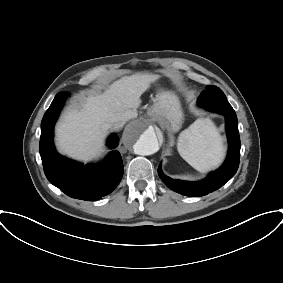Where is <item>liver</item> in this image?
Here are the masks:
<instances>
[{
  "label": "liver",
  "instance_id": "liver-1",
  "mask_svg": "<svg viewBox=\"0 0 283 283\" xmlns=\"http://www.w3.org/2000/svg\"><path fill=\"white\" fill-rule=\"evenodd\" d=\"M157 79L149 74L122 77L104 93L89 96L79 107L69 110L56 127L59 150L85 162L98 156L110 125L136 118L141 95Z\"/></svg>",
  "mask_w": 283,
  "mask_h": 283
}]
</instances>
